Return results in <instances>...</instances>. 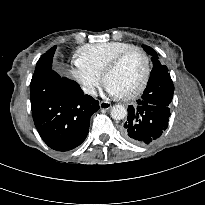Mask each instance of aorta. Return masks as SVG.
Masks as SVG:
<instances>
[{"mask_svg":"<svg viewBox=\"0 0 205 205\" xmlns=\"http://www.w3.org/2000/svg\"><path fill=\"white\" fill-rule=\"evenodd\" d=\"M110 115L114 120H122L127 115V110L122 105H114L110 110Z\"/></svg>","mask_w":205,"mask_h":205,"instance_id":"obj_1","label":"aorta"}]
</instances>
